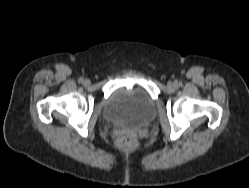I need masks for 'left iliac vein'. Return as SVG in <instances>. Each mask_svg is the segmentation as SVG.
I'll return each mask as SVG.
<instances>
[{
    "mask_svg": "<svg viewBox=\"0 0 249 188\" xmlns=\"http://www.w3.org/2000/svg\"><path fill=\"white\" fill-rule=\"evenodd\" d=\"M168 86H169V88H171V89L175 88L174 83H169Z\"/></svg>",
    "mask_w": 249,
    "mask_h": 188,
    "instance_id": "left-iliac-vein-1",
    "label": "left iliac vein"
}]
</instances>
